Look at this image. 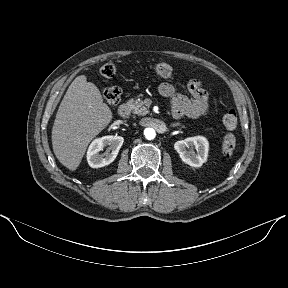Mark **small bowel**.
<instances>
[{"mask_svg": "<svg viewBox=\"0 0 288 288\" xmlns=\"http://www.w3.org/2000/svg\"><path fill=\"white\" fill-rule=\"evenodd\" d=\"M159 93L171 100L172 115L175 118H198L208 110V93L202 87L201 82L193 79L188 83V90L192 98L178 93L175 87L167 82L159 85Z\"/></svg>", "mask_w": 288, "mask_h": 288, "instance_id": "c3829d8e", "label": "small bowel"}]
</instances>
